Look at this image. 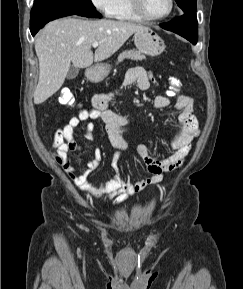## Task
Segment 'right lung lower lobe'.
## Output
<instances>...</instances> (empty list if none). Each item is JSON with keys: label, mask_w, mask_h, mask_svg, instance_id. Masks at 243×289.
Instances as JSON below:
<instances>
[{"label": "right lung lower lobe", "mask_w": 243, "mask_h": 289, "mask_svg": "<svg viewBox=\"0 0 243 289\" xmlns=\"http://www.w3.org/2000/svg\"><path fill=\"white\" fill-rule=\"evenodd\" d=\"M69 15L101 18V15L95 8L59 5L44 1L34 2L30 19V31L32 36H34L49 21Z\"/></svg>", "instance_id": "1"}]
</instances>
